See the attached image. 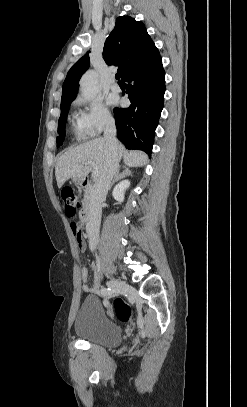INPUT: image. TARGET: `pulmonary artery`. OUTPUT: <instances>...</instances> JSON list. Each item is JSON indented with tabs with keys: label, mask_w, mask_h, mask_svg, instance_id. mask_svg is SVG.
<instances>
[{
	"label": "pulmonary artery",
	"mask_w": 247,
	"mask_h": 407,
	"mask_svg": "<svg viewBox=\"0 0 247 407\" xmlns=\"http://www.w3.org/2000/svg\"><path fill=\"white\" fill-rule=\"evenodd\" d=\"M110 88L114 92H119L120 91L119 85L114 80L111 81Z\"/></svg>",
	"instance_id": "pulmonary-artery-1"
}]
</instances>
